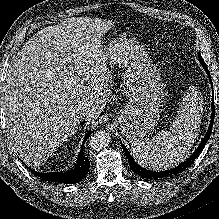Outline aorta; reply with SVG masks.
<instances>
[{
    "label": "aorta",
    "mask_w": 219,
    "mask_h": 219,
    "mask_svg": "<svg viewBox=\"0 0 219 219\" xmlns=\"http://www.w3.org/2000/svg\"><path fill=\"white\" fill-rule=\"evenodd\" d=\"M110 142V135L105 131H97L89 140L91 149L100 151L105 149Z\"/></svg>",
    "instance_id": "obj_1"
}]
</instances>
